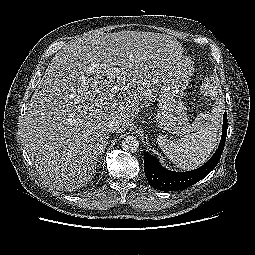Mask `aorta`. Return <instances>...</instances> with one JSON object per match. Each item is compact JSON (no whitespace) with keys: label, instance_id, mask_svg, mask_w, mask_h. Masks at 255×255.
<instances>
[{"label":"aorta","instance_id":"762f6f07","mask_svg":"<svg viewBox=\"0 0 255 255\" xmlns=\"http://www.w3.org/2000/svg\"><path fill=\"white\" fill-rule=\"evenodd\" d=\"M121 147L124 151L134 153L138 150L139 142L134 136H127L122 140Z\"/></svg>","mask_w":255,"mask_h":255}]
</instances>
